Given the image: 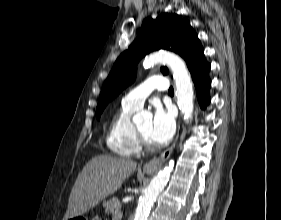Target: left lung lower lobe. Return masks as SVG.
<instances>
[{
  "label": "left lung lower lobe",
  "mask_w": 281,
  "mask_h": 220,
  "mask_svg": "<svg viewBox=\"0 0 281 220\" xmlns=\"http://www.w3.org/2000/svg\"><path fill=\"white\" fill-rule=\"evenodd\" d=\"M188 69L192 75L197 91V98L201 108H205L210 102L209 89L211 81L209 79L210 64L206 61L204 53L193 58L188 64Z\"/></svg>",
  "instance_id": "left-lung-lower-lobe-1"
}]
</instances>
